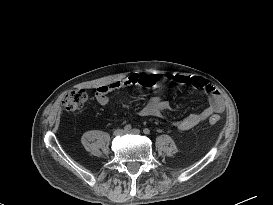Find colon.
<instances>
[{
    "label": "colon",
    "mask_w": 273,
    "mask_h": 205,
    "mask_svg": "<svg viewBox=\"0 0 273 205\" xmlns=\"http://www.w3.org/2000/svg\"><path fill=\"white\" fill-rule=\"evenodd\" d=\"M88 100V94L83 89H74L64 94L62 98V105L67 111H77L84 107ZM219 122L217 115L210 117V123L215 125Z\"/></svg>",
    "instance_id": "obj_1"
}]
</instances>
